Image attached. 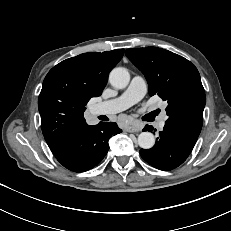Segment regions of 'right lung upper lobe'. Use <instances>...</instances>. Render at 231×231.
Returning <instances> with one entry per match:
<instances>
[{
	"mask_svg": "<svg viewBox=\"0 0 231 231\" xmlns=\"http://www.w3.org/2000/svg\"><path fill=\"white\" fill-rule=\"evenodd\" d=\"M123 49L83 53L54 66L46 75L38 108L45 140L54 150L70 133L87 125L83 116L92 97L100 96Z\"/></svg>",
	"mask_w": 231,
	"mask_h": 231,
	"instance_id": "cb5924a9",
	"label": "right lung upper lobe"
}]
</instances>
